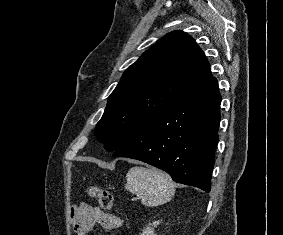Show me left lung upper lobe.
<instances>
[{"label":"left lung upper lobe","mask_w":283,"mask_h":235,"mask_svg":"<svg viewBox=\"0 0 283 235\" xmlns=\"http://www.w3.org/2000/svg\"><path fill=\"white\" fill-rule=\"evenodd\" d=\"M211 78L210 65L192 37L182 31L166 34L122 75L96 125L97 139L116 151Z\"/></svg>","instance_id":"left-lung-upper-lobe-1"}]
</instances>
